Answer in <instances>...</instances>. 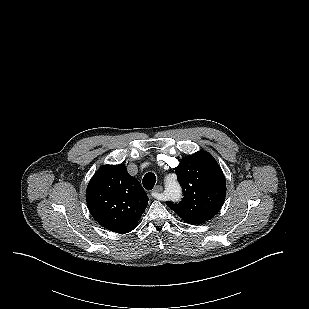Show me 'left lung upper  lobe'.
<instances>
[{"instance_id":"left-lung-upper-lobe-1","label":"left lung upper lobe","mask_w":309,"mask_h":309,"mask_svg":"<svg viewBox=\"0 0 309 309\" xmlns=\"http://www.w3.org/2000/svg\"><path fill=\"white\" fill-rule=\"evenodd\" d=\"M175 172L184 197L178 204L167 202V206L190 224L214 217L226 196V180L215 159L206 151H198L184 157Z\"/></svg>"}]
</instances>
